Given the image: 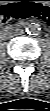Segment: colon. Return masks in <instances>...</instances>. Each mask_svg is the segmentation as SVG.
<instances>
[{"instance_id": "obj_1", "label": "colon", "mask_w": 50, "mask_h": 111, "mask_svg": "<svg viewBox=\"0 0 50 111\" xmlns=\"http://www.w3.org/2000/svg\"><path fill=\"white\" fill-rule=\"evenodd\" d=\"M0 16L3 22L29 17L48 21L50 19V7L40 0H14L1 7Z\"/></svg>"}]
</instances>
